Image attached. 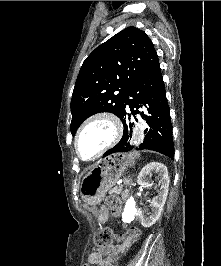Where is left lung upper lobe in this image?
Listing matches in <instances>:
<instances>
[{"label":"left lung upper lobe","instance_id":"1","mask_svg":"<svg viewBox=\"0 0 221 266\" xmlns=\"http://www.w3.org/2000/svg\"><path fill=\"white\" fill-rule=\"evenodd\" d=\"M158 65L152 41L136 27L125 28L93 50L83 62L73 90L72 136L93 114L111 112L120 118L132 84Z\"/></svg>","mask_w":221,"mask_h":266}]
</instances>
